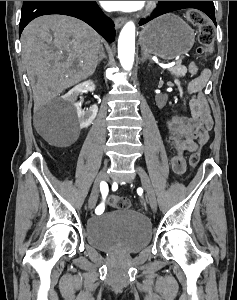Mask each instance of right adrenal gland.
Segmentation results:
<instances>
[{"label": "right adrenal gland", "mask_w": 237, "mask_h": 300, "mask_svg": "<svg viewBox=\"0 0 237 300\" xmlns=\"http://www.w3.org/2000/svg\"><path fill=\"white\" fill-rule=\"evenodd\" d=\"M102 59H105V51L103 45L99 47V57H98V65H100Z\"/></svg>", "instance_id": "2a0ac1e0"}]
</instances>
